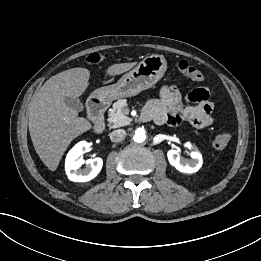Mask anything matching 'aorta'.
Masks as SVG:
<instances>
[{
	"mask_svg": "<svg viewBox=\"0 0 261 261\" xmlns=\"http://www.w3.org/2000/svg\"><path fill=\"white\" fill-rule=\"evenodd\" d=\"M133 140L136 143H142L146 140V133L145 130L142 128H138L134 132Z\"/></svg>",
	"mask_w": 261,
	"mask_h": 261,
	"instance_id": "obj_1",
	"label": "aorta"
}]
</instances>
